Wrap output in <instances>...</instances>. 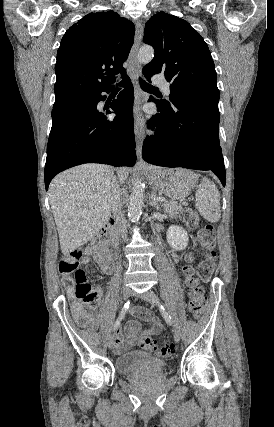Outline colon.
<instances>
[{
  "label": "colon",
  "instance_id": "1",
  "mask_svg": "<svg viewBox=\"0 0 274 427\" xmlns=\"http://www.w3.org/2000/svg\"><path fill=\"white\" fill-rule=\"evenodd\" d=\"M182 218L190 225L195 226L199 222V216L196 212L185 208L181 212ZM215 227L211 223H206L198 233V241L201 248H216V240L214 236ZM82 252L73 250L66 254L60 262L59 271L64 277L65 287L70 292L71 296L82 303L94 302L98 297V288L91 285L86 276V272L80 264ZM197 270L191 265L187 268L183 267V273L186 277L189 300L187 303L188 310L196 314L201 309L202 303L206 301V294L201 286V280H196L195 274ZM140 346L148 351L155 353L160 358L171 357L175 352L173 345H160L152 341L149 337L142 336L139 338Z\"/></svg>",
  "mask_w": 274,
  "mask_h": 427
}]
</instances>
